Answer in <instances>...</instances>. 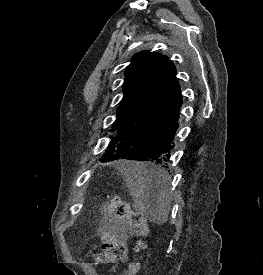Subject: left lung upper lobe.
<instances>
[{
    "mask_svg": "<svg viewBox=\"0 0 263 275\" xmlns=\"http://www.w3.org/2000/svg\"><path fill=\"white\" fill-rule=\"evenodd\" d=\"M171 65L172 62L167 56L156 52L141 51L133 56L125 70L124 96L111 131H117L131 116Z\"/></svg>",
    "mask_w": 263,
    "mask_h": 275,
    "instance_id": "left-lung-upper-lobe-1",
    "label": "left lung upper lobe"
}]
</instances>
